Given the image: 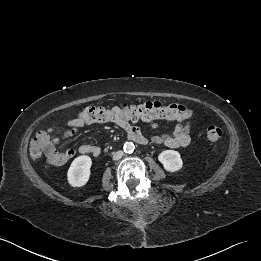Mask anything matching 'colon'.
Segmentation results:
<instances>
[{
  "label": "colon",
  "mask_w": 261,
  "mask_h": 261,
  "mask_svg": "<svg viewBox=\"0 0 261 261\" xmlns=\"http://www.w3.org/2000/svg\"><path fill=\"white\" fill-rule=\"evenodd\" d=\"M192 116V110L180 105H163L159 102H146L144 104H123L113 108L87 107L78 118L84 123L94 122H115L119 120L127 121H152L157 119L185 120ZM74 129L64 132L63 137L73 135ZM222 132L219 127L210 125L207 128V139L212 145V150L217 151V143ZM48 135L46 132H39L34 135L29 145L30 155L34 158L40 157L44 152Z\"/></svg>",
  "instance_id": "1"
}]
</instances>
